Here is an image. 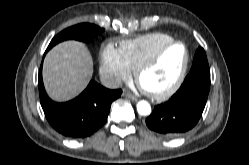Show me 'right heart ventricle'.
<instances>
[{
	"mask_svg": "<svg viewBox=\"0 0 249 165\" xmlns=\"http://www.w3.org/2000/svg\"><path fill=\"white\" fill-rule=\"evenodd\" d=\"M174 38L166 33L153 32L120 43V53L131 70L151 57L163 45Z\"/></svg>",
	"mask_w": 249,
	"mask_h": 165,
	"instance_id": "1",
	"label": "right heart ventricle"
}]
</instances>
